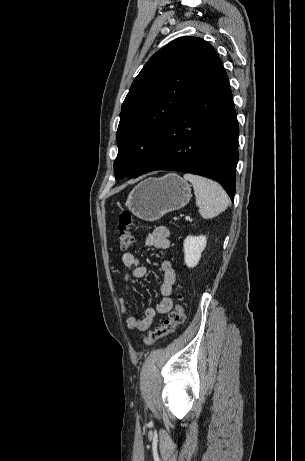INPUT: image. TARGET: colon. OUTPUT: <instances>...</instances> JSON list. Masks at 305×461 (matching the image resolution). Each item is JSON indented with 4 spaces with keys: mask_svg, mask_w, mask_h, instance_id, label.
I'll use <instances>...</instances> for the list:
<instances>
[{
    "mask_svg": "<svg viewBox=\"0 0 305 461\" xmlns=\"http://www.w3.org/2000/svg\"><path fill=\"white\" fill-rule=\"evenodd\" d=\"M117 239L122 250L128 249L133 244V219L129 212H123L119 216ZM180 300L181 296L179 295L177 296V303L169 313L168 318L144 338L145 345H151L169 336L178 326L184 323L185 315Z\"/></svg>",
    "mask_w": 305,
    "mask_h": 461,
    "instance_id": "5ec220e1",
    "label": "colon"
}]
</instances>
